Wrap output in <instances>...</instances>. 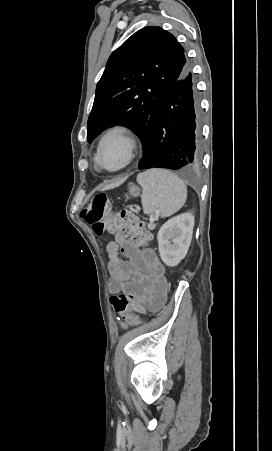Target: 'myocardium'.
Returning a JSON list of instances; mask_svg holds the SVG:
<instances>
[{
    "label": "myocardium",
    "instance_id": "f54148a6",
    "mask_svg": "<svg viewBox=\"0 0 272 451\" xmlns=\"http://www.w3.org/2000/svg\"><path fill=\"white\" fill-rule=\"evenodd\" d=\"M110 140H116L118 142H120L126 151V161L125 163L116 170H110L112 172H120L123 169L127 168L130 163L133 160L134 157V141L133 139L128 135V133L126 132L125 129L120 128V127H115L112 128L110 130H108L100 139L97 149H96V153H95V157H94V161L95 164L98 168L102 169L103 167L100 164V154L101 151L103 149V147L110 141Z\"/></svg>",
    "mask_w": 272,
    "mask_h": 451
}]
</instances>
